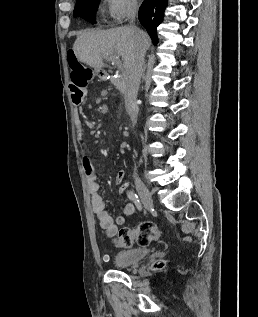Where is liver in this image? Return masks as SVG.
Returning <instances> with one entry per match:
<instances>
[{
    "label": "liver",
    "mask_w": 258,
    "mask_h": 317,
    "mask_svg": "<svg viewBox=\"0 0 258 317\" xmlns=\"http://www.w3.org/2000/svg\"><path fill=\"white\" fill-rule=\"evenodd\" d=\"M140 32L145 48H149L151 44L149 34L144 30H140ZM73 50L78 60L89 64V66H94V68L106 66L103 62L104 54L122 56L124 60L123 68L126 72L134 54L131 28L129 26H118V28H109V30L81 32L73 44Z\"/></svg>",
    "instance_id": "6515ba94"
}]
</instances>
